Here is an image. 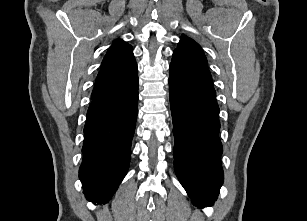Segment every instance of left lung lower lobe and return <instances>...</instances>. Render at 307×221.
<instances>
[{"label": "left lung lower lobe", "mask_w": 307, "mask_h": 221, "mask_svg": "<svg viewBox=\"0 0 307 221\" xmlns=\"http://www.w3.org/2000/svg\"><path fill=\"white\" fill-rule=\"evenodd\" d=\"M169 96L176 174L196 206H212L224 179L219 107L212 77L174 52Z\"/></svg>", "instance_id": "obj_1"}]
</instances>
